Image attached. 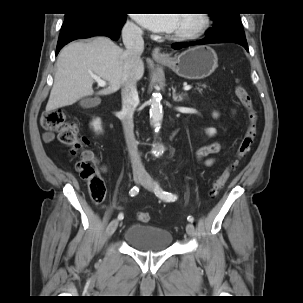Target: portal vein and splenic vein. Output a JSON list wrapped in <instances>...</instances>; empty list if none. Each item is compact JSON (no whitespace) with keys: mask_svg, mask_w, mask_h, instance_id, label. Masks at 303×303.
I'll return each mask as SVG.
<instances>
[{"mask_svg":"<svg viewBox=\"0 0 303 303\" xmlns=\"http://www.w3.org/2000/svg\"><path fill=\"white\" fill-rule=\"evenodd\" d=\"M92 78L98 83L99 86L105 87L107 85L106 81L102 80L100 77L96 75H92ZM192 87L190 85L184 86L185 91H189Z\"/></svg>","mask_w":303,"mask_h":303,"instance_id":"18ae733b","label":"portal vein and splenic vein"}]
</instances>
